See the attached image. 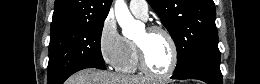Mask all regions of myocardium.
<instances>
[{
  "label": "myocardium",
  "instance_id": "myocardium-1",
  "mask_svg": "<svg viewBox=\"0 0 260 84\" xmlns=\"http://www.w3.org/2000/svg\"><path fill=\"white\" fill-rule=\"evenodd\" d=\"M145 30L149 34H152L155 32H160L167 38V40L169 41V44H170V48H171V62H170V66L167 71H165L163 73H157V72L153 71L146 62L143 46L140 43L135 42V49H136V53H137V60H138L140 70L143 73H145L147 76L156 78V79H166V78L171 77L175 73L177 66H178V61H179L178 46H177V43H176V40H175L173 34L164 26L157 25V24L150 25V26L146 27Z\"/></svg>",
  "mask_w": 260,
  "mask_h": 84
}]
</instances>
